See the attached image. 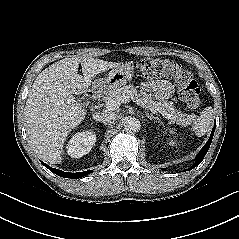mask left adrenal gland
I'll list each match as a JSON object with an SVG mask.
<instances>
[{
    "mask_svg": "<svg viewBox=\"0 0 239 239\" xmlns=\"http://www.w3.org/2000/svg\"><path fill=\"white\" fill-rule=\"evenodd\" d=\"M146 117L149 118L150 120L155 119L158 120V122H160L159 118L154 116L153 114H149L146 112Z\"/></svg>",
    "mask_w": 239,
    "mask_h": 239,
    "instance_id": "obj_1",
    "label": "left adrenal gland"
}]
</instances>
